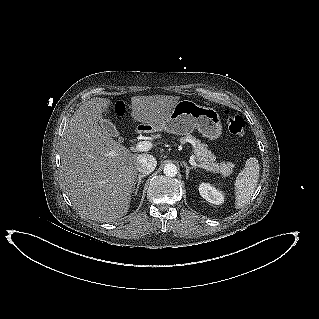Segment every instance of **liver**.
I'll use <instances>...</instances> for the list:
<instances>
[{"label":"liver","mask_w":319,"mask_h":319,"mask_svg":"<svg viewBox=\"0 0 319 319\" xmlns=\"http://www.w3.org/2000/svg\"><path fill=\"white\" fill-rule=\"evenodd\" d=\"M178 96H134V121L153 126L167 119ZM110 99L91 98L73 114L61 144V181L76 211L98 222L127 214L137 178L139 157L99 126Z\"/></svg>","instance_id":"obj_1"}]
</instances>
